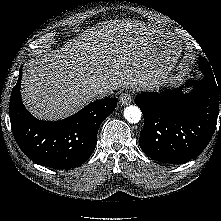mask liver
I'll list each match as a JSON object with an SVG mask.
<instances>
[{
    "instance_id": "1",
    "label": "liver",
    "mask_w": 221,
    "mask_h": 221,
    "mask_svg": "<svg viewBox=\"0 0 221 221\" xmlns=\"http://www.w3.org/2000/svg\"><path fill=\"white\" fill-rule=\"evenodd\" d=\"M141 22H105L87 29L60 49L41 55L23 71L21 96L37 118L59 120L76 113L98 88L150 87L156 67Z\"/></svg>"
}]
</instances>
